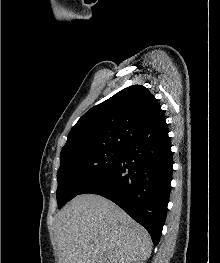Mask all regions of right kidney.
Wrapping results in <instances>:
<instances>
[{
	"label": "right kidney",
	"instance_id": "right-kidney-1",
	"mask_svg": "<svg viewBox=\"0 0 220 263\" xmlns=\"http://www.w3.org/2000/svg\"><path fill=\"white\" fill-rule=\"evenodd\" d=\"M132 263H143V262H140V261H135V262H132Z\"/></svg>",
	"mask_w": 220,
	"mask_h": 263
}]
</instances>
